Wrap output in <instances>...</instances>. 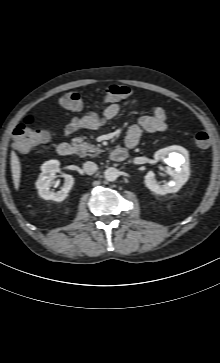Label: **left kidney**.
<instances>
[{"instance_id": "left-kidney-1", "label": "left kidney", "mask_w": 220, "mask_h": 363, "mask_svg": "<svg viewBox=\"0 0 220 363\" xmlns=\"http://www.w3.org/2000/svg\"><path fill=\"white\" fill-rule=\"evenodd\" d=\"M154 159L155 161L163 160L169 166L168 170L174 180L160 185L155 180L154 172L149 171L144 180L146 187L159 195L177 192L190 175L189 157L186 149L180 146L166 147L156 151Z\"/></svg>"}]
</instances>
